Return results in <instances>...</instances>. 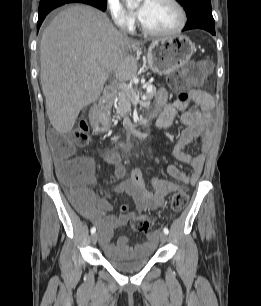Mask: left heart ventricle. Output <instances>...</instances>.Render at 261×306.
Returning a JSON list of instances; mask_svg holds the SVG:
<instances>
[{
	"instance_id": "left-heart-ventricle-1",
	"label": "left heart ventricle",
	"mask_w": 261,
	"mask_h": 306,
	"mask_svg": "<svg viewBox=\"0 0 261 306\" xmlns=\"http://www.w3.org/2000/svg\"><path fill=\"white\" fill-rule=\"evenodd\" d=\"M137 9L140 19L155 30H170L178 22V12L167 0H140Z\"/></svg>"
}]
</instances>
